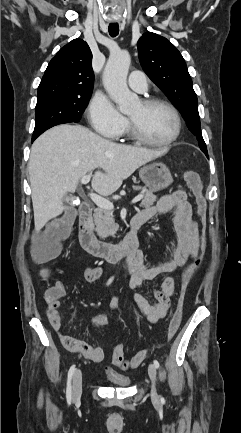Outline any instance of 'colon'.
Here are the masks:
<instances>
[{"label": "colon", "mask_w": 241, "mask_h": 433, "mask_svg": "<svg viewBox=\"0 0 241 433\" xmlns=\"http://www.w3.org/2000/svg\"><path fill=\"white\" fill-rule=\"evenodd\" d=\"M185 177L188 181L189 187L191 188L195 202L197 206V213L201 218L202 224H205V210L206 202L203 196L202 183L194 171H187ZM61 212L63 215L61 218L56 220L51 224L47 230L33 243L32 246V256L37 262H45L51 259L58 251L61 240L68 234L70 229V214H77V205H62ZM199 259L195 260L184 272L179 288L178 300L175 311L170 319L167 337L171 339L178 331L184 312V306L186 301V296L188 292V287L195 270L199 266ZM47 298H53L55 292L48 290L46 293ZM147 357L146 351H140L136 353L132 358L127 359L125 356L124 346L118 344L113 351V363L124 369L136 368L142 364V362ZM113 370H109L108 373H113Z\"/></svg>", "instance_id": "5ec220e1"}]
</instances>
